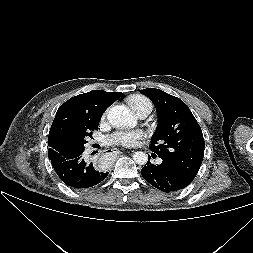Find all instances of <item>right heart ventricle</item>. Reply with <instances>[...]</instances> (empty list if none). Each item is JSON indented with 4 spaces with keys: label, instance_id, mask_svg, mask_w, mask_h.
<instances>
[{
    "label": "right heart ventricle",
    "instance_id": "obj_1",
    "mask_svg": "<svg viewBox=\"0 0 253 253\" xmlns=\"http://www.w3.org/2000/svg\"><path fill=\"white\" fill-rule=\"evenodd\" d=\"M127 102L129 104L130 108L135 112H137L138 110H140L142 108L148 107V106L152 107V104L149 99H147L146 97H144L142 95H138V94L129 96L127 99Z\"/></svg>",
    "mask_w": 253,
    "mask_h": 253
}]
</instances>
